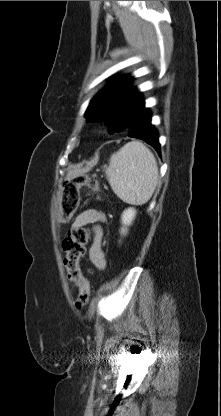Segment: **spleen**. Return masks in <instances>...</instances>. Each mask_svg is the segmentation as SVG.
<instances>
[{
	"label": "spleen",
	"instance_id": "obj_1",
	"mask_svg": "<svg viewBox=\"0 0 221 416\" xmlns=\"http://www.w3.org/2000/svg\"><path fill=\"white\" fill-rule=\"evenodd\" d=\"M114 193L124 202L143 205L158 183V166L153 153L140 141L126 143L111 155L105 170Z\"/></svg>",
	"mask_w": 221,
	"mask_h": 416
}]
</instances>
